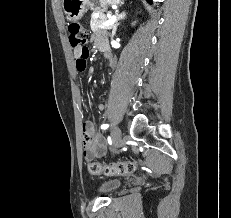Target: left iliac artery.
Here are the masks:
<instances>
[{"label": "left iliac artery", "instance_id": "44dca946", "mask_svg": "<svg viewBox=\"0 0 231 218\" xmlns=\"http://www.w3.org/2000/svg\"><path fill=\"white\" fill-rule=\"evenodd\" d=\"M108 127H109L108 124H103V125H101V129H107Z\"/></svg>", "mask_w": 231, "mask_h": 218}]
</instances>
